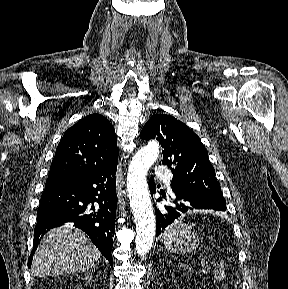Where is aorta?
I'll return each instance as SVG.
<instances>
[{
  "label": "aorta",
  "mask_w": 288,
  "mask_h": 289,
  "mask_svg": "<svg viewBox=\"0 0 288 289\" xmlns=\"http://www.w3.org/2000/svg\"><path fill=\"white\" fill-rule=\"evenodd\" d=\"M159 155V144L149 142L134 155L127 174V190L136 224L135 250L144 255L152 247L156 224L146 175Z\"/></svg>",
  "instance_id": "1"
}]
</instances>
